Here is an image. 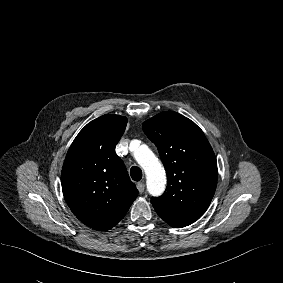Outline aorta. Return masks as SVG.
<instances>
[{
    "label": "aorta",
    "mask_w": 283,
    "mask_h": 283,
    "mask_svg": "<svg viewBox=\"0 0 283 283\" xmlns=\"http://www.w3.org/2000/svg\"><path fill=\"white\" fill-rule=\"evenodd\" d=\"M131 142V147L135 144ZM134 157L144 169L147 177V189L153 196L161 195L165 190V171L155 154L146 145H140L134 150Z\"/></svg>",
    "instance_id": "762f6f07"
}]
</instances>
